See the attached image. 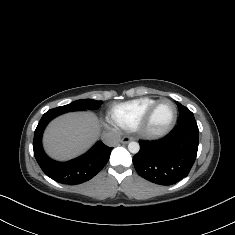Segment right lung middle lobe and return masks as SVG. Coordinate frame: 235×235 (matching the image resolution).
Masks as SVG:
<instances>
[{"mask_svg":"<svg viewBox=\"0 0 235 235\" xmlns=\"http://www.w3.org/2000/svg\"><path fill=\"white\" fill-rule=\"evenodd\" d=\"M102 104V101H97L93 99H82L72 102L71 104L60 106L52 109L53 112L57 114H63L70 111H79V110H95L98 109Z\"/></svg>","mask_w":235,"mask_h":235,"instance_id":"1","label":"right lung middle lobe"}]
</instances>
